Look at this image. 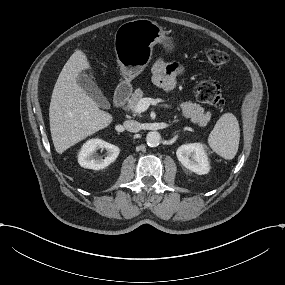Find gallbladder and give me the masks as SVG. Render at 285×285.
I'll use <instances>...</instances> for the list:
<instances>
[{
    "label": "gallbladder",
    "mask_w": 285,
    "mask_h": 285,
    "mask_svg": "<svg viewBox=\"0 0 285 285\" xmlns=\"http://www.w3.org/2000/svg\"><path fill=\"white\" fill-rule=\"evenodd\" d=\"M77 83L84 89L86 94L102 109H109L110 103L103 95L98 85L85 72H80Z\"/></svg>",
    "instance_id": "1"
}]
</instances>
